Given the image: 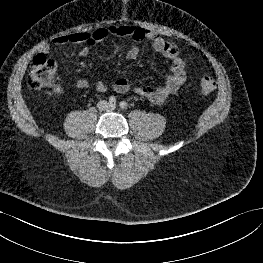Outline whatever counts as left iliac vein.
<instances>
[{
  "mask_svg": "<svg viewBox=\"0 0 263 263\" xmlns=\"http://www.w3.org/2000/svg\"><path fill=\"white\" fill-rule=\"evenodd\" d=\"M116 105H110V109H115Z\"/></svg>",
  "mask_w": 263,
  "mask_h": 263,
  "instance_id": "obj_1",
  "label": "left iliac vein"
}]
</instances>
